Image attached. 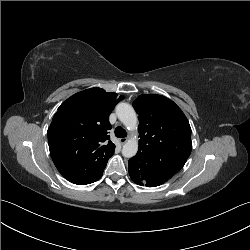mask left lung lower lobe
Instances as JSON below:
<instances>
[{
	"label": "left lung lower lobe",
	"instance_id": "obj_1",
	"mask_svg": "<svg viewBox=\"0 0 250 250\" xmlns=\"http://www.w3.org/2000/svg\"><path fill=\"white\" fill-rule=\"evenodd\" d=\"M131 179L140 186L155 187L169 180L177 170L171 166L154 164L142 152L129 159Z\"/></svg>",
	"mask_w": 250,
	"mask_h": 250
}]
</instances>
